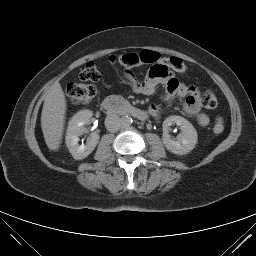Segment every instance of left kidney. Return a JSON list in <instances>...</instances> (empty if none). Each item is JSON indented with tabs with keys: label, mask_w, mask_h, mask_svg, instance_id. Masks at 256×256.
Masks as SVG:
<instances>
[{
	"label": "left kidney",
	"mask_w": 256,
	"mask_h": 256,
	"mask_svg": "<svg viewBox=\"0 0 256 256\" xmlns=\"http://www.w3.org/2000/svg\"><path fill=\"white\" fill-rule=\"evenodd\" d=\"M178 125L181 129V134L174 140L169 135L170 126ZM163 144L167 150L177 155L188 154L194 149L197 143V132L194 126L181 116L167 117L163 122Z\"/></svg>",
	"instance_id": "5707ae66"
}]
</instances>
